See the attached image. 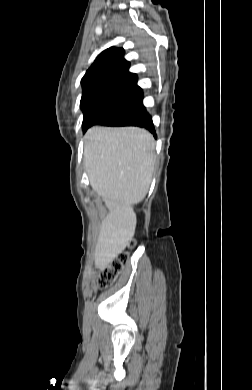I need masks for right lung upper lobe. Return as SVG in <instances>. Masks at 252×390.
<instances>
[{"label": "right lung upper lobe", "instance_id": "cb5924a9", "mask_svg": "<svg viewBox=\"0 0 252 390\" xmlns=\"http://www.w3.org/2000/svg\"><path fill=\"white\" fill-rule=\"evenodd\" d=\"M124 53L123 48L111 47L98 55L81 80V107L102 100L142 101L143 91L136 74L128 71Z\"/></svg>", "mask_w": 252, "mask_h": 390}]
</instances>
